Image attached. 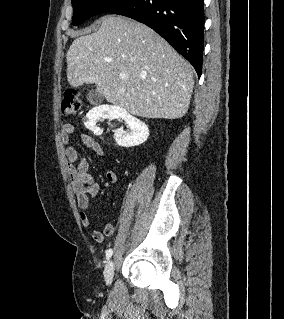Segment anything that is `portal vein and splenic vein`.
Returning a JSON list of instances; mask_svg holds the SVG:
<instances>
[{"label":"portal vein and splenic vein","mask_w":284,"mask_h":319,"mask_svg":"<svg viewBox=\"0 0 284 319\" xmlns=\"http://www.w3.org/2000/svg\"><path fill=\"white\" fill-rule=\"evenodd\" d=\"M125 77H126L125 74L120 75V79H125Z\"/></svg>","instance_id":"18ae733b"}]
</instances>
